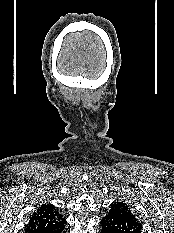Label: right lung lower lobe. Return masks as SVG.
<instances>
[{"label":"right lung lower lobe","instance_id":"obj_1","mask_svg":"<svg viewBox=\"0 0 174 233\" xmlns=\"http://www.w3.org/2000/svg\"><path fill=\"white\" fill-rule=\"evenodd\" d=\"M66 223L58 226V227H55L51 230H48V231H45L44 233H66Z\"/></svg>","mask_w":174,"mask_h":233}]
</instances>
